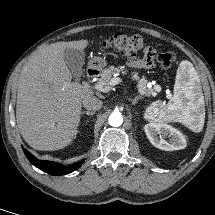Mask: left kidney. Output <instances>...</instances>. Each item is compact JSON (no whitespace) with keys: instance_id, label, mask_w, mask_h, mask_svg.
Masks as SVG:
<instances>
[{"instance_id":"left-kidney-1","label":"left kidney","mask_w":215,"mask_h":215,"mask_svg":"<svg viewBox=\"0 0 215 215\" xmlns=\"http://www.w3.org/2000/svg\"><path fill=\"white\" fill-rule=\"evenodd\" d=\"M144 130L152 145L161 150L173 151L186 147L185 136L180 131L164 122L149 123L145 125ZM167 137L169 141L165 140Z\"/></svg>"}]
</instances>
